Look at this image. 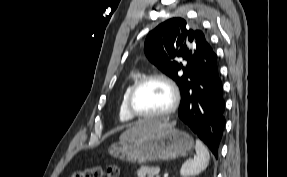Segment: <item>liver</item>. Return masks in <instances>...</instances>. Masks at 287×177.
<instances>
[{
  "mask_svg": "<svg viewBox=\"0 0 287 177\" xmlns=\"http://www.w3.org/2000/svg\"><path fill=\"white\" fill-rule=\"evenodd\" d=\"M175 122L167 123V122H161L159 120H145L140 121L128 130H126L122 135L121 139L129 138L132 136L142 135L149 132H154L156 130H159L164 127L168 126H174Z\"/></svg>",
  "mask_w": 287,
  "mask_h": 177,
  "instance_id": "1",
  "label": "liver"
}]
</instances>
